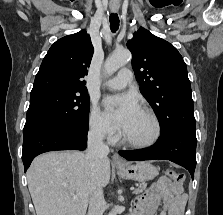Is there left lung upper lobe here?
<instances>
[{
    "mask_svg": "<svg viewBox=\"0 0 223 215\" xmlns=\"http://www.w3.org/2000/svg\"><path fill=\"white\" fill-rule=\"evenodd\" d=\"M127 47L140 91L157 115L161 134L195 130L191 85L177 49L142 27Z\"/></svg>",
    "mask_w": 223,
    "mask_h": 215,
    "instance_id": "obj_1",
    "label": "left lung upper lobe"
}]
</instances>
